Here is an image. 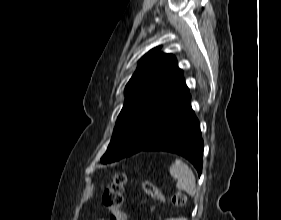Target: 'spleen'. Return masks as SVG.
<instances>
[{
  "instance_id": "obj_1",
  "label": "spleen",
  "mask_w": 281,
  "mask_h": 220,
  "mask_svg": "<svg viewBox=\"0 0 281 220\" xmlns=\"http://www.w3.org/2000/svg\"><path fill=\"white\" fill-rule=\"evenodd\" d=\"M170 175L177 179L176 187L189 195L196 194V179L193 171L182 160L176 159L169 168Z\"/></svg>"
}]
</instances>
